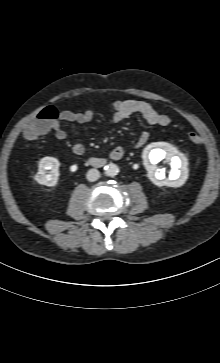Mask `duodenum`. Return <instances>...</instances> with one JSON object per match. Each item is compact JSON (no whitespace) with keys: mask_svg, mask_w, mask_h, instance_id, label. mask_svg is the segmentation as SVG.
I'll use <instances>...</instances> for the list:
<instances>
[{"mask_svg":"<svg viewBox=\"0 0 220 363\" xmlns=\"http://www.w3.org/2000/svg\"><path fill=\"white\" fill-rule=\"evenodd\" d=\"M121 158V156H118L117 158H113L114 160H118V159H120ZM89 161L93 164V165H95V166H97V167H100V166H103L104 164H105V161L103 160V159H100V158H97V157H90L89 158Z\"/></svg>","mask_w":220,"mask_h":363,"instance_id":"obj_1","label":"duodenum"}]
</instances>
